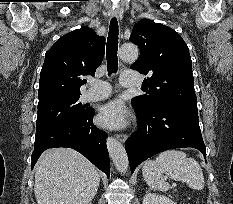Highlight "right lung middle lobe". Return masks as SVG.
Returning <instances> with one entry per match:
<instances>
[{
  "label": "right lung middle lobe",
  "mask_w": 233,
  "mask_h": 204,
  "mask_svg": "<svg viewBox=\"0 0 233 204\" xmlns=\"http://www.w3.org/2000/svg\"><path fill=\"white\" fill-rule=\"evenodd\" d=\"M80 95L58 96L38 103L36 134L66 122H74L90 109L79 103Z\"/></svg>",
  "instance_id": "right-lung-middle-lobe-1"
}]
</instances>
